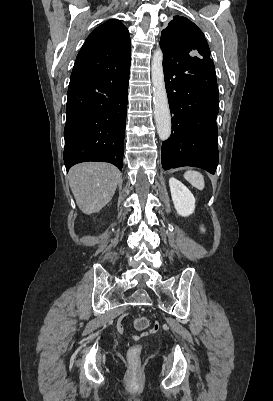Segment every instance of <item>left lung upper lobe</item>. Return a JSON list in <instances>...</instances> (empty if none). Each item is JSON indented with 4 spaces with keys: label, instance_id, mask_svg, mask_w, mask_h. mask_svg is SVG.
Masks as SVG:
<instances>
[{
    "label": "left lung upper lobe",
    "instance_id": "5c2ea615",
    "mask_svg": "<svg viewBox=\"0 0 273 401\" xmlns=\"http://www.w3.org/2000/svg\"><path fill=\"white\" fill-rule=\"evenodd\" d=\"M160 45L167 50L183 51L188 54L210 58V49L202 31L189 19L174 16L160 38Z\"/></svg>",
    "mask_w": 273,
    "mask_h": 401
}]
</instances>
